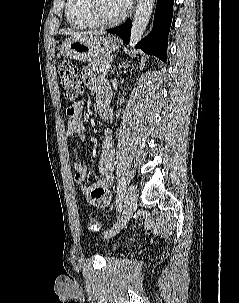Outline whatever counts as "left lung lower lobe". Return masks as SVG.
<instances>
[{"label": "left lung lower lobe", "instance_id": "0a47b994", "mask_svg": "<svg viewBox=\"0 0 239 303\" xmlns=\"http://www.w3.org/2000/svg\"><path fill=\"white\" fill-rule=\"evenodd\" d=\"M173 2L174 0H157L152 32L136 45L145 53L157 56L164 62L167 60V38L173 14ZM131 27L132 23L129 20L119 27L107 30V32L118 35L128 44Z\"/></svg>", "mask_w": 239, "mask_h": 303}]
</instances>
